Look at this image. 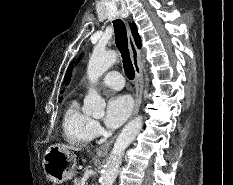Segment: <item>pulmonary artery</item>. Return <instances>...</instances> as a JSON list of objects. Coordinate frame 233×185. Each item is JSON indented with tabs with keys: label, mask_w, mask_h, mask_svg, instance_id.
I'll return each mask as SVG.
<instances>
[{
	"label": "pulmonary artery",
	"mask_w": 233,
	"mask_h": 185,
	"mask_svg": "<svg viewBox=\"0 0 233 185\" xmlns=\"http://www.w3.org/2000/svg\"><path fill=\"white\" fill-rule=\"evenodd\" d=\"M100 84L105 87L119 90L124 85L122 75L117 71L107 72L101 79Z\"/></svg>",
	"instance_id": "e3ab8cb5"
}]
</instances>
